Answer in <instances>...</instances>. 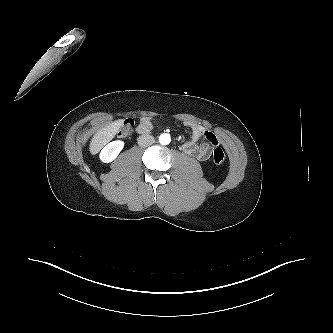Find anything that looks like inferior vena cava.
Wrapping results in <instances>:
<instances>
[{
	"instance_id": "obj_1",
	"label": "inferior vena cava",
	"mask_w": 333,
	"mask_h": 333,
	"mask_svg": "<svg viewBox=\"0 0 333 333\" xmlns=\"http://www.w3.org/2000/svg\"><path fill=\"white\" fill-rule=\"evenodd\" d=\"M155 142V139L151 135H142L138 138V145L140 147H148Z\"/></svg>"
}]
</instances>
